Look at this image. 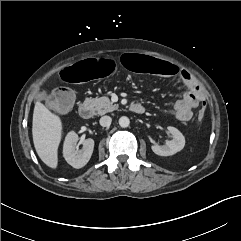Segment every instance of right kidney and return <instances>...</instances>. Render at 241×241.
<instances>
[{"mask_svg":"<svg viewBox=\"0 0 241 241\" xmlns=\"http://www.w3.org/2000/svg\"><path fill=\"white\" fill-rule=\"evenodd\" d=\"M78 140L79 137L75 132H69L63 146V156L65 160L77 169L84 167L88 163L94 149L93 139L80 140V143L83 145L81 150L77 147Z\"/></svg>","mask_w":241,"mask_h":241,"instance_id":"ca27d5eb","label":"right kidney"}]
</instances>
